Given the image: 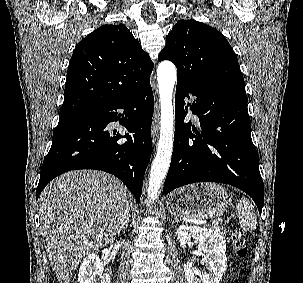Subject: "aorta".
I'll use <instances>...</instances> for the list:
<instances>
[{"mask_svg": "<svg viewBox=\"0 0 303 283\" xmlns=\"http://www.w3.org/2000/svg\"><path fill=\"white\" fill-rule=\"evenodd\" d=\"M157 79L161 105V127L157 153L152 163L147 189L148 206H151L158 198L159 189L166 177L172 157L174 140L172 94L177 80L175 65L170 61H162L157 69Z\"/></svg>", "mask_w": 303, "mask_h": 283, "instance_id": "1", "label": "aorta"}]
</instances>
